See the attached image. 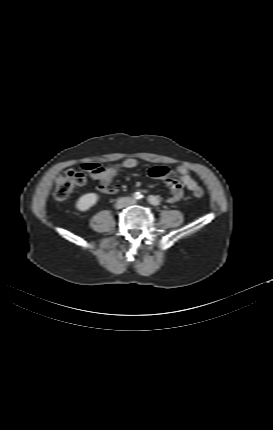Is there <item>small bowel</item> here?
Listing matches in <instances>:
<instances>
[{
	"instance_id": "small-bowel-1",
	"label": "small bowel",
	"mask_w": 273,
	"mask_h": 430,
	"mask_svg": "<svg viewBox=\"0 0 273 430\" xmlns=\"http://www.w3.org/2000/svg\"><path fill=\"white\" fill-rule=\"evenodd\" d=\"M139 166V161L135 158H127L120 163L104 168L101 162H82L80 171L89 174L90 178L98 182L97 190L101 194L111 195L119 191L122 185L110 186L112 179L122 169H131ZM174 173L179 174L180 180L174 177ZM149 176L162 179L170 188L171 194L168 203H176L183 197L184 188L193 191L198 187L197 182L189 175L186 167L180 166L175 172L167 167H154L148 172Z\"/></svg>"
}]
</instances>
